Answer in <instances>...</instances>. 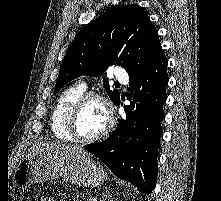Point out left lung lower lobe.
<instances>
[{"mask_svg": "<svg viewBox=\"0 0 221 201\" xmlns=\"http://www.w3.org/2000/svg\"><path fill=\"white\" fill-rule=\"evenodd\" d=\"M168 60L162 54L141 74L131 77L130 105L124 106L126 119H120L113 134L101 143L85 146L120 179L151 193L157 180V156L165 118ZM119 100L115 103L118 105Z\"/></svg>", "mask_w": 221, "mask_h": 201, "instance_id": "0a47b994", "label": "left lung lower lobe"}]
</instances>
